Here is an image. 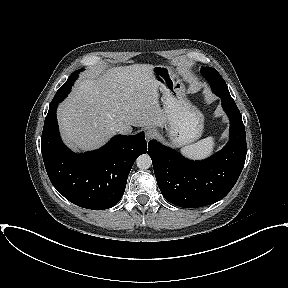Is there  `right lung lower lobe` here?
Here are the masks:
<instances>
[{
  "label": "right lung lower lobe",
  "mask_w": 288,
  "mask_h": 288,
  "mask_svg": "<svg viewBox=\"0 0 288 288\" xmlns=\"http://www.w3.org/2000/svg\"><path fill=\"white\" fill-rule=\"evenodd\" d=\"M57 106L58 103L50 104L41 137L43 161L51 183L77 206L92 210L113 207L123 196L136 158L147 152L144 133L117 135L102 148L78 155L61 141Z\"/></svg>",
  "instance_id": "98d812e1"
}]
</instances>
